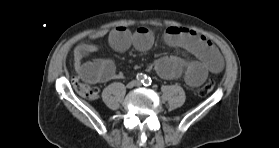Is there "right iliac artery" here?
<instances>
[{
  "label": "right iliac artery",
  "instance_id": "right-iliac-artery-1",
  "mask_svg": "<svg viewBox=\"0 0 279 148\" xmlns=\"http://www.w3.org/2000/svg\"><path fill=\"white\" fill-rule=\"evenodd\" d=\"M137 80L144 83L146 80V75L142 74V73H138L136 76Z\"/></svg>",
  "mask_w": 279,
  "mask_h": 148
}]
</instances>
